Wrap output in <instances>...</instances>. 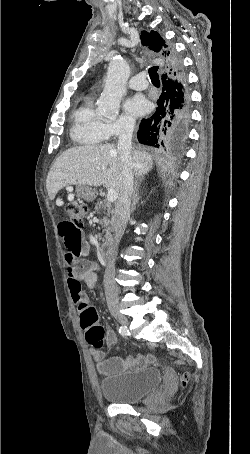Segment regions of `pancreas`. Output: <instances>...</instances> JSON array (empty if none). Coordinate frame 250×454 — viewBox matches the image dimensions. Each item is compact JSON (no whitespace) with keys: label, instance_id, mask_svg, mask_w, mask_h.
Returning a JSON list of instances; mask_svg holds the SVG:
<instances>
[{"label":"pancreas","instance_id":"pancreas-1","mask_svg":"<svg viewBox=\"0 0 250 454\" xmlns=\"http://www.w3.org/2000/svg\"><path fill=\"white\" fill-rule=\"evenodd\" d=\"M95 210L99 213L103 212L106 215L102 218L101 224L104 227V239L106 242H110L112 240L111 232L113 230V219L109 218L111 214V205L108 201H100L96 203Z\"/></svg>","mask_w":250,"mask_h":454}]
</instances>
